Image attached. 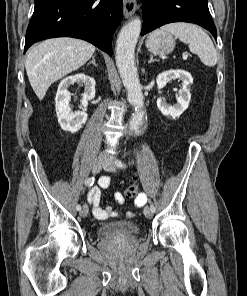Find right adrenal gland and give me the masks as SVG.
I'll list each match as a JSON object with an SVG mask.
<instances>
[{"label":"right adrenal gland","instance_id":"right-adrenal-gland-1","mask_svg":"<svg viewBox=\"0 0 247 296\" xmlns=\"http://www.w3.org/2000/svg\"><path fill=\"white\" fill-rule=\"evenodd\" d=\"M93 64L94 66H98L97 64H96V62H95V56H93L92 57V61H90L87 65H89V64Z\"/></svg>","mask_w":247,"mask_h":296}]
</instances>
